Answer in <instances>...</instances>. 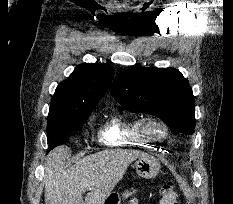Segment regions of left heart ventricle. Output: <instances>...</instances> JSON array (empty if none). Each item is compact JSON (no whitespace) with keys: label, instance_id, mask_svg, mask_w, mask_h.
Segmentation results:
<instances>
[{"label":"left heart ventricle","instance_id":"b2bd125f","mask_svg":"<svg viewBox=\"0 0 233 204\" xmlns=\"http://www.w3.org/2000/svg\"><path fill=\"white\" fill-rule=\"evenodd\" d=\"M153 131H154L155 133H159V132H160V128H158V127H153Z\"/></svg>","mask_w":233,"mask_h":204}]
</instances>
